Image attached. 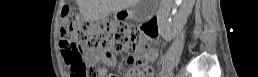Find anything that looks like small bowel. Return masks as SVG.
I'll return each mask as SVG.
<instances>
[{
  "label": "small bowel",
  "mask_w": 258,
  "mask_h": 77,
  "mask_svg": "<svg viewBox=\"0 0 258 77\" xmlns=\"http://www.w3.org/2000/svg\"><path fill=\"white\" fill-rule=\"evenodd\" d=\"M101 57L104 59V65L99 68V73L100 74H105L106 73V67L107 66H114L116 64L117 58L113 53H110V52L101 55L98 52L91 51V52H88V55H87L88 61L90 63H95ZM157 57H158L157 50L156 49H151L148 53V60L153 62L157 59ZM150 75H151V69L148 68V70L143 74V76L146 77V76H150ZM138 76H140V73L138 75H136L135 77H138Z\"/></svg>",
  "instance_id": "1"
}]
</instances>
